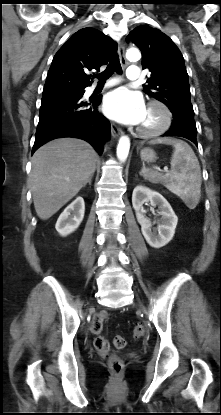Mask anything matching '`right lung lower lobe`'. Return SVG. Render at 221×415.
I'll list each match as a JSON object with an SVG mask.
<instances>
[{
	"label": "right lung lower lobe",
	"mask_w": 221,
	"mask_h": 415,
	"mask_svg": "<svg viewBox=\"0 0 221 415\" xmlns=\"http://www.w3.org/2000/svg\"><path fill=\"white\" fill-rule=\"evenodd\" d=\"M81 92H50L42 95L39 123L32 154L46 142L62 137H75L89 142L99 154L110 137V123L96 107L101 96L84 101Z\"/></svg>",
	"instance_id": "1"
}]
</instances>
